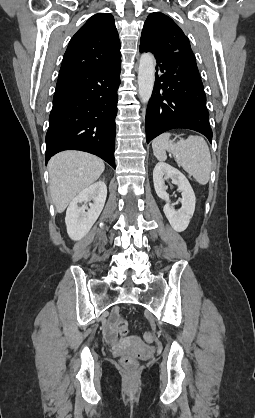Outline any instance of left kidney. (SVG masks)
Listing matches in <instances>:
<instances>
[{
    "instance_id": "left-kidney-1",
    "label": "left kidney",
    "mask_w": 255,
    "mask_h": 418,
    "mask_svg": "<svg viewBox=\"0 0 255 418\" xmlns=\"http://www.w3.org/2000/svg\"><path fill=\"white\" fill-rule=\"evenodd\" d=\"M166 179H171L172 183L176 184L181 192L182 207L177 211L170 205L169 195L164 183ZM153 182L156 194L166 202L163 211L170 225L177 232L184 231L194 214L196 203L195 194L188 179L171 165L159 162L153 171Z\"/></svg>"
}]
</instances>
